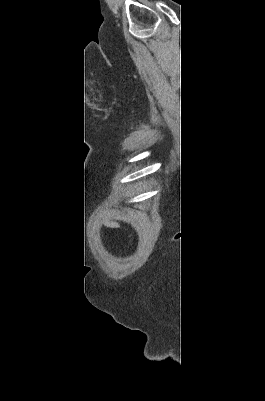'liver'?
Instances as JSON below:
<instances>
[{
    "mask_svg": "<svg viewBox=\"0 0 265 401\" xmlns=\"http://www.w3.org/2000/svg\"><path fill=\"white\" fill-rule=\"evenodd\" d=\"M114 227H119V225H117V223H113Z\"/></svg>",
    "mask_w": 265,
    "mask_h": 401,
    "instance_id": "6515ba94",
    "label": "liver"
}]
</instances>
